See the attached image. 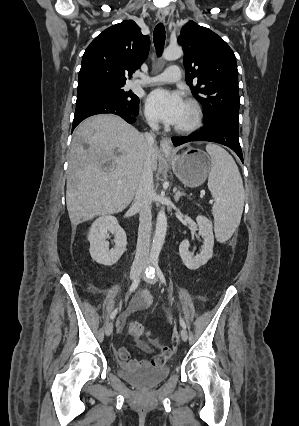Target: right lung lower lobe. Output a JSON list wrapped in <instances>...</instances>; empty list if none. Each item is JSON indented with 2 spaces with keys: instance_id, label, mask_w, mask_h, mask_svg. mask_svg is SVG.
I'll return each mask as SVG.
<instances>
[{
  "instance_id": "obj_1",
  "label": "right lung lower lobe",
  "mask_w": 299,
  "mask_h": 426,
  "mask_svg": "<svg viewBox=\"0 0 299 426\" xmlns=\"http://www.w3.org/2000/svg\"><path fill=\"white\" fill-rule=\"evenodd\" d=\"M138 112L139 103L130 106L109 96L92 93L82 94L77 96L72 130L85 118L104 113L115 114L128 123H134Z\"/></svg>"
}]
</instances>
